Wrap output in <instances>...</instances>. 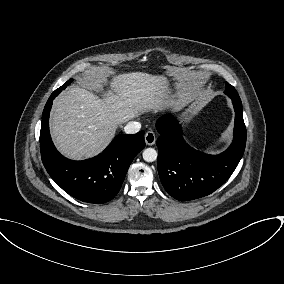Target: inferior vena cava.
I'll use <instances>...</instances> for the list:
<instances>
[{
    "mask_svg": "<svg viewBox=\"0 0 284 284\" xmlns=\"http://www.w3.org/2000/svg\"><path fill=\"white\" fill-rule=\"evenodd\" d=\"M140 128V122L131 121L124 127V131L126 134H135L140 131Z\"/></svg>",
    "mask_w": 284,
    "mask_h": 284,
    "instance_id": "inferior-vena-cava-1",
    "label": "inferior vena cava"
}]
</instances>
